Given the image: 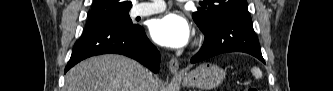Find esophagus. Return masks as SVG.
Instances as JSON below:
<instances>
[{
	"instance_id": "esophagus-1",
	"label": "esophagus",
	"mask_w": 333,
	"mask_h": 91,
	"mask_svg": "<svg viewBox=\"0 0 333 91\" xmlns=\"http://www.w3.org/2000/svg\"><path fill=\"white\" fill-rule=\"evenodd\" d=\"M169 70L172 74L179 75V61L176 58L170 60Z\"/></svg>"
}]
</instances>
